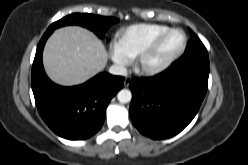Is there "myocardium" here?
I'll use <instances>...</instances> for the list:
<instances>
[{
  "mask_svg": "<svg viewBox=\"0 0 248 165\" xmlns=\"http://www.w3.org/2000/svg\"><path fill=\"white\" fill-rule=\"evenodd\" d=\"M173 32H179L182 35V43L179 46V48L174 51L171 55H169L166 59L163 61L156 63V64H150L148 62V59L150 55L155 51V49L158 47V45L161 43V41L170 33ZM187 46V36L185 32L180 28H167L166 30L159 33L157 36H155L144 48L143 50L137 55L136 57V69L145 75H156L163 71H165L167 68H169L185 51Z\"/></svg>",
  "mask_w": 248,
  "mask_h": 165,
  "instance_id": "1",
  "label": "myocardium"
}]
</instances>
